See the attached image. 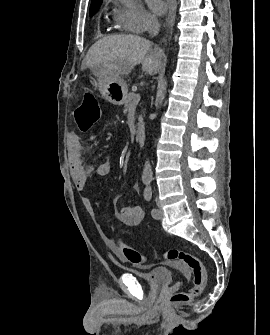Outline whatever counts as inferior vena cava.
<instances>
[{
  "instance_id": "inferior-vena-cava-1",
  "label": "inferior vena cava",
  "mask_w": 270,
  "mask_h": 335,
  "mask_svg": "<svg viewBox=\"0 0 270 335\" xmlns=\"http://www.w3.org/2000/svg\"><path fill=\"white\" fill-rule=\"evenodd\" d=\"M159 32V24H153V26H151V28H149V34L150 36H157Z\"/></svg>"
}]
</instances>
